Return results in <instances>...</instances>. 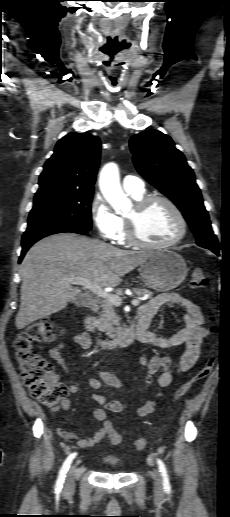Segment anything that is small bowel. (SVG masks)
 Returning a JSON list of instances; mask_svg holds the SVG:
<instances>
[{
    "instance_id": "1",
    "label": "small bowel",
    "mask_w": 230,
    "mask_h": 517,
    "mask_svg": "<svg viewBox=\"0 0 230 517\" xmlns=\"http://www.w3.org/2000/svg\"><path fill=\"white\" fill-rule=\"evenodd\" d=\"M168 305L171 308L180 306L184 310L183 314V326L182 328L170 337H163L156 335L153 332H146L144 338L141 340L148 347H155L160 349H169L176 347L181 344H186V351L180 359L178 373H185L189 371L194 364L197 362L200 356L201 344L204 338L209 335V330L204 325V316L199 307L191 300L187 299L183 295L175 292L161 293L150 299L148 302L143 304L139 310L149 311L153 315L158 309ZM73 341L79 345L82 349H89L92 346V338L87 333H81L74 336ZM64 344H58L48 351L50 358H52L62 369L65 374L69 373L68 366L65 359L63 358L61 351L64 348ZM140 373L135 375L131 382L136 381L142 372L146 371L145 383L149 387L153 383L156 384L157 388L151 398L146 400L138 409L137 414L139 416H146L154 412L157 401L162 397L165 388L171 385L174 374L171 372V359L167 355H155L148 358L146 355L141 354L139 357ZM113 388H123L126 383L118 379L113 373L107 370H97L96 376L89 379V386L98 391L102 385ZM80 385L77 382H72L69 387V393L74 394L79 391ZM93 399L101 405L93 412L94 418L103 423V426L97 430L94 435L87 439H81L73 432L62 428L60 425L57 426V433L64 440L69 442H75L80 448H86L94 446L100 442L106 435L110 434L109 425L111 424L107 419V412L118 413L125 410L129 404L126 402H120L117 400H107L106 397L96 392L93 394ZM71 402L69 399H63L59 406L52 409V416L54 419L60 410H69ZM116 433V432H115ZM120 440L117 443L120 444L122 441L121 436L116 433Z\"/></svg>"
}]
</instances>
